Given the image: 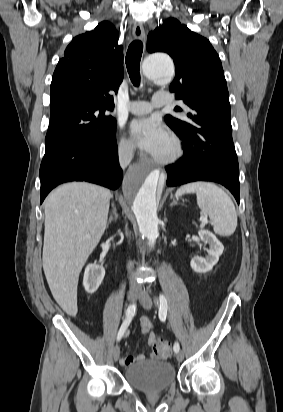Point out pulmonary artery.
<instances>
[{
	"mask_svg": "<svg viewBox=\"0 0 283 412\" xmlns=\"http://www.w3.org/2000/svg\"><path fill=\"white\" fill-rule=\"evenodd\" d=\"M169 93H158L153 96L152 103L147 101H131L129 103V111L136 115H142L149 113L154 107H161L170 103Z\"/></svg>",
	"mask_w": 283,
	"mask_h": 412,
	"instance_id": "e3ab8cb5",
	"label": "pulmonary artery"
}]
</instances>
